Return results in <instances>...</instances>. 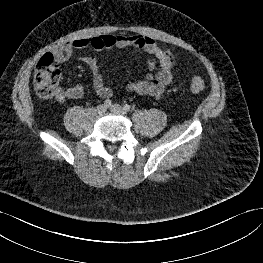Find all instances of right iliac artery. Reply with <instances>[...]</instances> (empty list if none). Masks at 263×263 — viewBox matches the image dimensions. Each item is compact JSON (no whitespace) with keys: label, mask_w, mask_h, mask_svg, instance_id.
Segmentation results:
<instances>
[{"label":"right iliac artery","mask_w":263,"mask_h":263,"mask_svg":"<svg viewBox=\"0 0 263 263\" xmlns=\"http://www.w3.org/2000/svg\"><path fill=\"white\" fill-rule=\"evenodd\" d=\"M111 104H112V102H111V100H109V99H107V100L104 101V105H105L106 107L111 106Z\"/></svg>","instance_id":"1"}]
</instances>
